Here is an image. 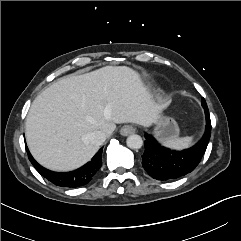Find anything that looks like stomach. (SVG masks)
<instances>
[{
    "mask_svg": "<svg viewBox=\"0 0 241 241\" xmlns=\"http://www.w3.org/2000/svg\"><path fill=\"white\" fill-rule=\"evenodd\" d=\"M154 135L162 142L174 139L179 135V127L173 118L160 115L155 122Z\"/></svg>",
    "mask_w": 241,
    "mask_h": 241,
    "instance_id": "stomach-1",
    "label": "stomach"
}]
</instances>
